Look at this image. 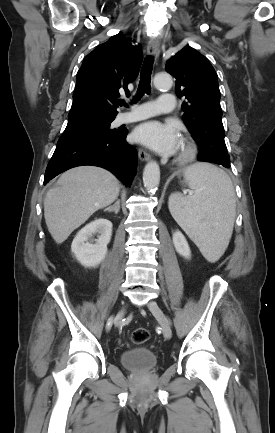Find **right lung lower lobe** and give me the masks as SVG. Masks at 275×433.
<instances>
[{"mask_svg":"<svg viewBox=\"0 0 275 433\" xmlns=\"http://www.w3.org/2000/svg\"><path fill=\"white\" fill-rule=\"evenodd\" d=\"M127 129L111 134H62L48 163L44 185L58 174L82 165L103 167L130 186L137 168V151L126 143Z\"/></svg>","mask_w":275,"mask_h":433,"instance_id":"obj_1","label":"right lung lower lobe"}]
</instances>
